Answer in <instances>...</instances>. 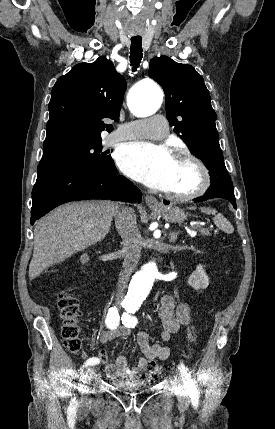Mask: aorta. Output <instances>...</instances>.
<instances>
[{
    "label": "aorta",
    "instance_id": "1",
    "mask_svg": "<svg viewBox=\"0 0 275 429\" xmlns=\"http://www.w3.org/2000/svg\"><path fill=\"white\" fill-rule=\"evenodd\" d=\"M163 92L154 82H141L133 87L128 95L131 112L138 117L150 116L158 111L162 104ZM157 274L154 262L145 264L132 278L128 300L137 305L149 294Z\"/></svg>",
    "mask_w": 275,
    "mask_h": 429
}]
</instances>
